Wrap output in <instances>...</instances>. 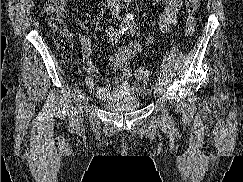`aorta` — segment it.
<instances>
[{
  "label": "aorta",
  "mask_w": 243,
  "mask_h": 182,
  "mask_svg": "<svg viewBox=\"0 0 243 182\" xmlns=\"http://www.w3.org/2000/svg\"><path fill=\"white\" fill-rule=\"evenodd\" d=\"M133 15L131 13H127L125 19L126 20H132Z\"/></svg>",
  "instance_id": "obj_1"
}]
</instances>
